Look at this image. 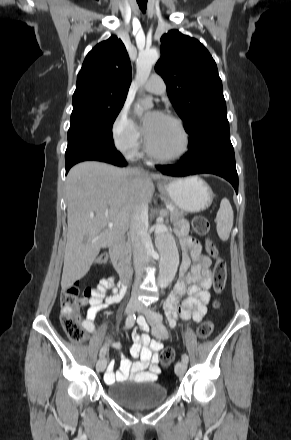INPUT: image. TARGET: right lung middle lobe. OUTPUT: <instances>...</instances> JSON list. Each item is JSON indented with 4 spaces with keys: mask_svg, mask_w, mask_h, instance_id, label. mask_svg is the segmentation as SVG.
<instances>
[{
    "mask_svg": "<svg viewBox=\"0 0 291 440\" xmlns=\"http://www.w3.org/2000/svg\"><path fill=\"white\" fill-rule=\"evenodd\" d=\"M125 99L85 100L73 103L68 142L92 140L114 145L112 125Z\"/></svg>",
    "mask_w": 291,
    "mask_h": 440,
    "instance_id": "1",
    "label": "right lung middle lobe"
}]
</instances>
